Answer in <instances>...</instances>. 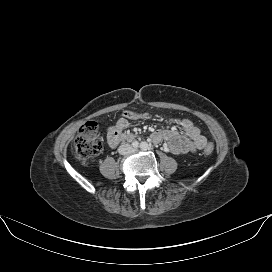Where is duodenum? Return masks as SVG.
<instances>
[{"mask_svg": "<svg viewBox=\"0 0 272 272\" xmlns=\"http://www.w3.org/2000/svg\"><path fill=\"white\" fill-rule=\"evenodd\" d=\"M134 138L133 134H121L120 141L132 140Z\"/></svg>", "mask_w": 272, "mask_h": 272, "instance_id": "obj_1", "label": "duodenum"}]
</instances>
